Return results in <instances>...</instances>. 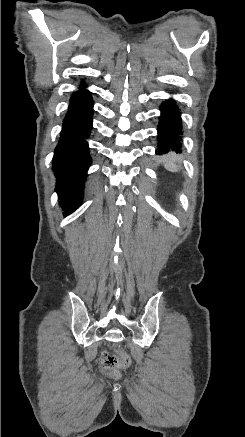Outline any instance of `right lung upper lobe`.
Here are the masks:
<instances>
[{
	"mask_svg": "<svg viewBox=\"0 0 245 437\" xmlns=\"http://www.w3.org/2000/svg\"><path fill=\"white\" fill-rule=\"evenodd\" d=\"M81 85H85V82H84V81H82V82H81V84H80V86H81Z\"/></svg>",
	"mask_w": 245,
	"mask_h": 437,
	"instance_id": "right-lung-upper-lobe-1",
	"label": "right lung upper lobe"
}]
</instances>
